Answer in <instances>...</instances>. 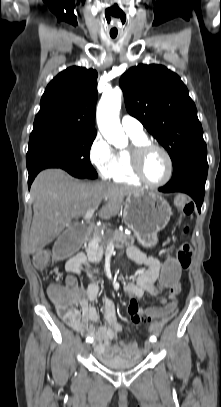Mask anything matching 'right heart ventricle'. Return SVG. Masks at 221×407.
Wrapping results in <instances>:
<instances>
[{
    "label": "right heart ventricle",
    "instance_id": "e07e8e85",
    "mask_svg": "<svg viewBox=\"0 0 221 407\" xmlns=\"http://www.w3.org/2000/svg\"><path fill=\"white\" fill-rule=\"evenodd\" d=\"M132 145L149 142L147 136L128 134ZM114 181L127 184H140L141 182L132 173L130 167L129 149L116 152V166L111 177Z\"/></svg>",
    "mask_w": 221,
    "mask_h": 407
}]
</instances>
